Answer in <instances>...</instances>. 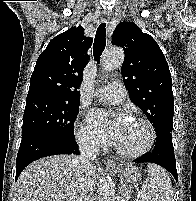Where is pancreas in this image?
<instances>
[{"instance_id": "obj_1", "label": "pancreas", "mask_w": 196, "mask_h": 201, "mask_svg": "<svg viewBox=\"0 0 196 201\" xmlns=\"http://www.w3.org/2000/svg\"><path fill=\"white\" fill-rule=\"evenodd\" d=\"M121 201H129L131 198V194H130V190L125 188L124 190H122L121 192Z\"/></svg>"}]
</instances>
